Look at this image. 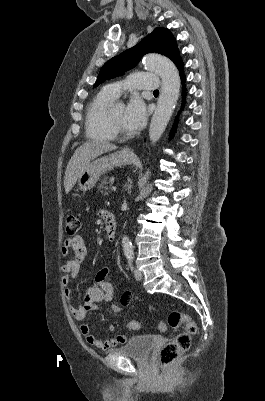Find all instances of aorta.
<instances>
[{
  "instance_id": "obj_1",
  "label": "aorta",
  "mask_w": 265,
  "mask_h": 401,
  "mask_svg": "<svg viewBox=\"0 0 265 401\" xmlns=\"http://www.w3.org/2000/svg\"><path fill=\"white\" fill-rule=\"evenodd\" d=\"M143 64L148 70L157 72L162 80L156 110L149 126L150 140L155 144L162 136L176 106L180 92V76L174 62L161 54H146ZM148 176L149 170L145 172L143 178ZM122 247L124 255H133L134 247L126 235L122 239Z\"/></svg>"
}]
</instances>
